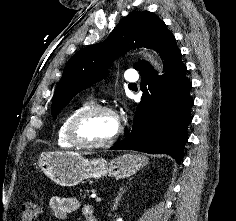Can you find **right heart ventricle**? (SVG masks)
Returning a JSON list of instances; mask_svg holds the SVG:
<instances>
[{
	"instance_id": "right-heart-ventricle-1",
	"label": "right heart ventricle",
	"mask_w": 236,
	"mask_h": 221,
	"mask_svg": "<svg viewBox=\"0 0 236 221\" xmlns=\"http://www.w3.org/2000/svg\"><path fill=\"white\" fill-rule=\"evenodd\" d=\"M91 106V103L86 101L79 106L70 110L64 118L61 120L58 129H57V144L63 149H72L75 146L67 138V128L70 120L82 109Z\"/></svg>"
}]
</instances>
